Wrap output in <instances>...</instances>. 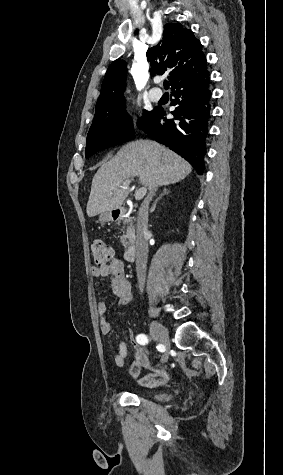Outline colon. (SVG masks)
I'll use <instances>...</instances> for the list:
<instances>
[{
  "label": "colon",
  "instance_id": "1",
  "mask_svg": "<svg viewBox=\"0 0 283 475\" xmlns=\"http://www.w3.org/2000/svg\"><path fill=\"white\" fill-rule=\"evenodd\" d=\"M91 252L95 261L100 265L108 264L115 260L114 249L101 241L91 245Z\"/></svg>",
  "mask_w": 283,
  "mask_h": 475
}]
</instances>
